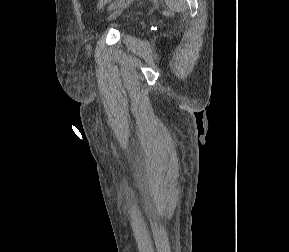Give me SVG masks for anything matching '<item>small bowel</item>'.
<instances>
[{"label":"small bowel","mask_w":289,"mask_h":252,"mask_svg":"<svg viewBox=\"0 0 289 252\" xmlns=\"http://www.w3.org/2000/svg\"><path fill=\"white\" fill-rule=\"evenodd\" d=\"M112 0H95L96 8L102 9L106 5L110 4Z\"/></svg>","instance_id":"c3829d8e"}]
</instances>
